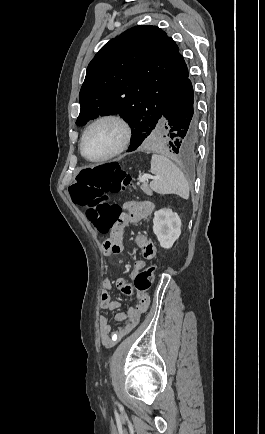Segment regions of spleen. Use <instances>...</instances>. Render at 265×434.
Here are the masks:
<instances>
[{
	"label": "spleen",
	"mask_w": 265,
	"mask_h": 434,
	"mask_svg": "<svg viewBox=\"0 0 265 434\" xmlns=\"http://www.w3.org/2000/svg\"><path fill=\"white\" fill-rule=\"evenodd\" d=\"M151 174L155 180L150 182V188L157 194H178L184 200L189 198L188 182L181 172L167 156L153 154L151 160Z\"/></svg>",
	"instance_id": "3e777b00"
}]
</instances>
